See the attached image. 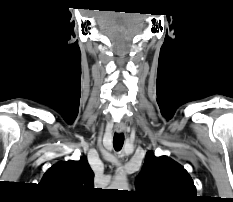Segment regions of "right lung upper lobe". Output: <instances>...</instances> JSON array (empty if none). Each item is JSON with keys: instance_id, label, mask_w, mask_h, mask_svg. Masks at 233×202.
Segmentation results:
<instances>
[{"instance_id": "obj_1", "label": "right lung upper lobe", "mask_w": 233, "mask_h": 202, "mask_svg": "<svg viewBox=\"0 0 233 202\" xmlns=\"http://www.w3.org/2000/svg\"><path fill=\"white\" fill-rule=\"evenodd\" d=\"M94 173L85 157L80 161H64L53 165L41 184L64 195H83L93 189Z\"/></svg>"}]
</instances>
